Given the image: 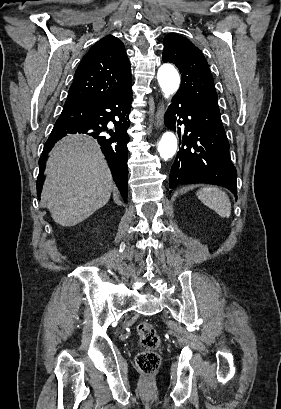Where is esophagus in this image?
<instances>
[{"mask_svg":"<svg viewBox=\"0 0 281 409\" xmlns=\"http://www.w3.org/2000/svg\"><path fill=\"white\" fill-rule=\"evenodd\" d=\"M163 117H164V104L160 103L158 104L157 111L154 117V126L156 128L163 127Z\"/></svg>","mask_w":281,"mask_h":409,"instance_id":"1","label":"esophagus"}]
</instances>
